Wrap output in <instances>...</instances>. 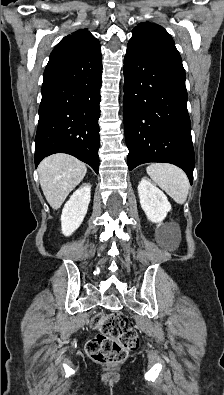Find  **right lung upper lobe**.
<instances>
[{
    "label": "right lung upper lobe",
    "instance_id": "cb5924a9",
    "mask_svg": "<svg viewBox=\"0 0 224 395\" xmlns=\"http://www.w3.org/2000/svg\"><path fill=\"white\" fill-rule=\"evenodd\" d=\"M66 38H72L77 47L87 54H97L101 51L99 41L87 29L77 30Z\"/></svg>",
    "mask_w": 224,
    "mask_h": 395
}]
</instances>
